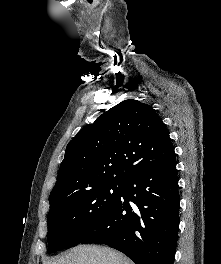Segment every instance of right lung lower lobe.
I'll return each mask as SVG.
<instances>
[{
  "mask_svg": "<svg viewBox=\"0 0 221 264\" xmlns=\"http://www.w3.org/2000/svg\"><path fill=\"white\" fill-rule=\"evenodd\" d=\"M179 203L174 154L128 177L116 206L80 244H106L135 264H173Z\"/></svg>",
  "mask_w": 221,
  "mask_h": 264,
  "instance_id": "1",
  "label": "right lung lower lobe"
}]
</instances>
